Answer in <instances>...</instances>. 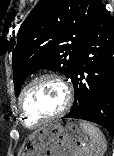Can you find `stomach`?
I'll return each mask as SVG.
<instances>
[{"label":"stomach","mask_w":114,"mask_h":156,"mask_svg":"<svg viewBox=\"0 0 114 156\" xmlns=\"http://www.w3.org/2000/svg\"><path fill=\"white\" fill-rule=\"evenodd\" d=\"M87 141L80 121L68 119L47 124L35 131L22 156H78Z\"/></svg>","instance_id":"obj_1"}]
</instances>
